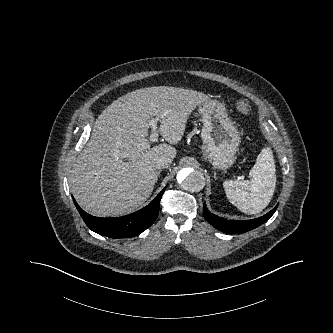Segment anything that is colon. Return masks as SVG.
Masks as SVG:
<instances>
[{
	"label": "colon",
	"instance_id": "5ec220e1",
	"mask_svg": "<svg viewBox=\"0 0 333 333\" xmlns=\"http://www.w3.org/2000/svg\"><path fill=\"white\" fill-rule=\"evenodd\" d=\"M237 109L242 113V114H248L251 110V107L248 103V101L244 99H240L236 103Z\"/></svg>",
	"mask_w": 333,
	"mask_h": 333
}]
</instances>
